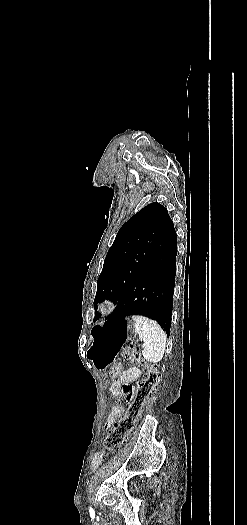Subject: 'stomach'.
Listing matches in <instances>:
<instances>
[{
    "label": "stomach",
    "instance_id": "obj_1",
    "mask_svg": "<svg viewBox=\"0 0 247 525\" xmlns=\"http://www.w3.org/2000/svg\"><path fill=\"white\" fill-rule=\"evenodd\" d=\"M136 334L135 322L129 317L101 323L92 330L87 358L97 370L103 371L115 360L124 343L133 340Z\"/></svg>",
    "mask_w": 247,
    "mask_h": 525
}]
</instances>
